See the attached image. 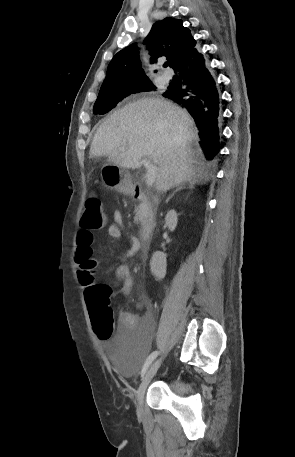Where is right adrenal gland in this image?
Masks as SVG:
<instances>
[{
    "label": "right adrenal gland",
    "mask_w": 295,
    "mask_h": 457,
    "mask_svg": "<svg viewBox=\"0 0 295 457\" xmlns=\"http://www.w3.org/2000/svg\"><path fill=\"white\" fill-rule=\"evenodd\" d=\"M194 185H195V183L192 182V181L183 183L180 187H178V188H177V189L167 198L166 203L169 202V200L174 196V194H175L177 191H179V190H181V189H185L186 187H187L188 189L192 190V189L194 188Z\"/></svg>",
    "instance_id": "2a0ac1e0"
}]
</instances>
